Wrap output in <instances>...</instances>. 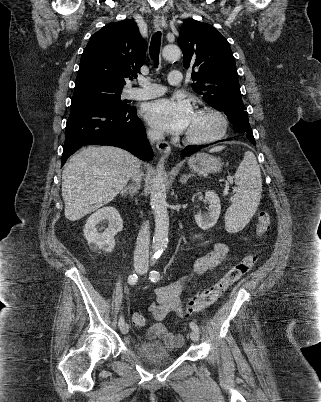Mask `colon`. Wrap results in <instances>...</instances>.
Wrapping results in <instances>:
<instances>
[{
  "mask_svg": "<svg viewBox=\"0 0 321 402\" xmlns=\"http://www.w3.org/2000/svg\"><path fill=\"white\" fill-rule=\"evenodd\" d=\"M271 225V217L267 211H261L257 217L256 233L258 237L264 236L269 230ZM258 258V253L253 251L242 257L235 263L222 278L216 283L205 289L197 297L188 302L185 312L190 314L192 312L200 311L212 303H214L219 296L226 290L228 286L237 281L239 278L248 273L254 266ZM145 318L140 313L133 315V323L137 327L145 325Z\"/></svg>",
  "mask_w": 321,
  "mask_h": 402,
  "instance_id": "colon-1",
  "label": "colon"
}]
</instances>
